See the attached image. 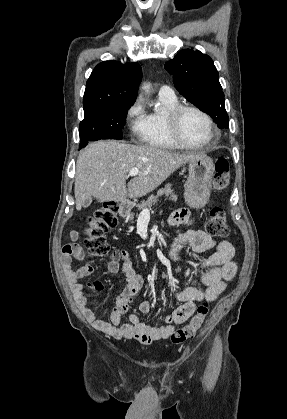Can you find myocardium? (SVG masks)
Returning a JSON list of instances; mask_svg holds the SVG:
<instances>
[{
    "instance_id": "1",
    "label": "myocardium",
    "mask_w": 287,
    "mask_h": 419,
    "mask_svg": "<svg viewBox=\"0 0 287 419\" xmlns=\"http://www.w3.org/2000/svg\"><path fill=\"white\" fill-rule=\"evenodd\" d=\"M185 111H194V112L198 113L199 115H201L205 119V121L207 122V124L209 126V129H210V138L207 141H205L204 143L192 144V143L187 142L182 137V135L180 133V130H179V121H180L181 115ZM166 123H167L168 131H169L170 135L173 137V139L179 145H181L185 148H190V149L206 148V147L214 144L219 138L218 129H217L214 121L212 120V118L204 110H202L201 108H199L195 105L179 104L176 107L168 110L167 113H166Z\"/></svg>"
}]
</instances>
